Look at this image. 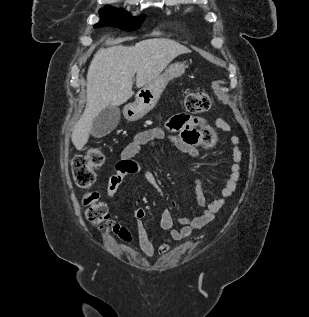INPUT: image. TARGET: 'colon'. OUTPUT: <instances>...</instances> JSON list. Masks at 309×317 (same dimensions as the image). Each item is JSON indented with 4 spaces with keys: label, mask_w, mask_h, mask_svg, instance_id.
Instances as JSON below:
<instances>
[{
    "label": "colon",
    "mask_w": 309,
    "mask_h": 317,
    "mask_svg": "<svg viewBox=\"0 0 309 317\" xmlns=\"http://www.w3.org/2000/svg\"><path fill=\"white\" fill-rule=\"evenodd\" d=\"M211 99L205 92L189 93L184 98V107L191 113H203L210 109ZM202 139L208 145L216 142V133L212 128H204L201 133ZM104 162V155L99 148H90L85 155L77 156L72 162V174L75 183L83 189H90L95 182V169ZM86 207L87 219L98 228L104 230L111 228L123 239L128 235L125 230L114 225L109 217L107 207L99 202V193L89 190L83 197Z\"/></svg>",
    "instance_id": "1"
}]
</instances>
